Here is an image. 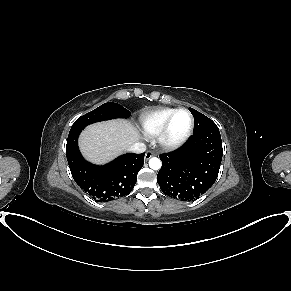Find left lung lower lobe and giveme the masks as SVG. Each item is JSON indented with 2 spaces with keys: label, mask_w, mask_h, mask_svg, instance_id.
Here are the masks:
<instances>
[{
  "label": "left lung lower lobe",
  "mask_w": 291,
  "mask_h": 291,
  "mask_svg": "<svg viewBox=\"0 0 291 291\" xmlns=\"http://www.w3.org/2000/svg\"><path fill=\"white\" fill-rule=\"evenodd\" d=\"M222 155L218 127L193 134L179 149L159 156L157 182L162 192L181 201L199 198L214 184Z\"/></svg>",
  "instance_id": "0a47b994"
}]
</instances>
